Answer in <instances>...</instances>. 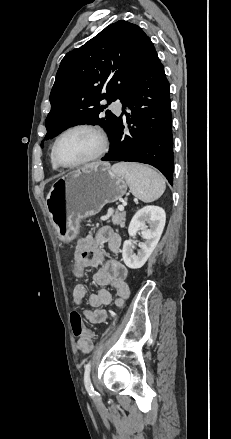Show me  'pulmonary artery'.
<instances>
[{
  "label": "pulmonary artery",
  "instance_id": "e3ab8cb5",
  "mask_svg": "<svg viewBox=\"0 0 231 439\" xmlns=\"http://www.w3.org/2000/svg\"><path fill=\"white\" fill-rule=\"evenodd\" d=\"M122 108H123V105L120 102V100H116L113 102L112 109H113L115 114H117V115L121 114Z\"/></svg>",
  "mask_w": 231,
  "mask_h": 439
}]
</instances>
